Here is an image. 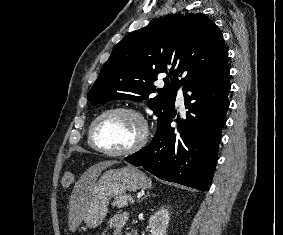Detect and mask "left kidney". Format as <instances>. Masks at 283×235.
Masks as SVG:
<instances>
[{
	"label": "left kidney",
	"instance_id": "obj_1",
	"mask_svg": "<svg viewBox=\"0 0 283 235\" xmlns=\"http://www.w3.org/2000/svg\"><path fill=\"white\" fill-rule=\"evenodd\" d=\"M169 220V212L165 208H161L154 215L150 216V235H166V229L168 227Z\"/></svg>",
	"mask_w": 283,
	"mask_h": 235
}]
</instances>
